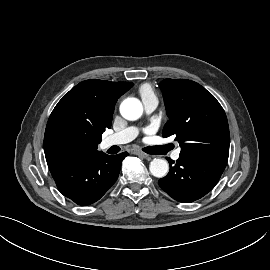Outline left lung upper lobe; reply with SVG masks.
Instances as JSON below:
<instances>
[{"label":"left lung upper lobe","instance_id":"left-lung-upper-lobe-1","mask_svg":"<svg viewBox=\"0 0 270 270\" xmlns=\"http://www.w3.org/2000/svg\"><path fill=\"white\" fill-rule=\"evenodd\" d=\"M169 121L162 135H175L180 155L227 164L229 127L226 114L200 84L191 80L165 79L160 83Z\"/></svg>","mask_w":270,"mask_h":270}]
</instances>
